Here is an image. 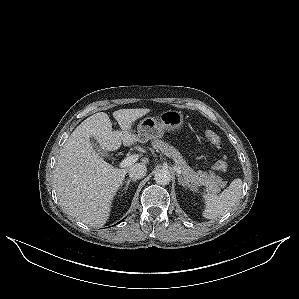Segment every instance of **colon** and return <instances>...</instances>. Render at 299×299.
Returning a JSON list of instances; mask_svg holds the SVG:
<instances>
[{
  "label": "colon",
  "mask_w": 299,
  "mask_h": 299,
  "mask_svg": "<svg viewBox=\"0 0 299 299\" xmlns=\"http://www.w3.org/2000/svg\"><path fill=\"white\" fill-rule=\"evenodd\" d=\"M206 139L213 145L220 147L222 144L221 138L215 132L208 130L205 132ZM228 167L226 158H221L214 164L213 168L217 171H224Z\"/></svg>",
  "instance_id": "colon-1"
}]
</instances>
